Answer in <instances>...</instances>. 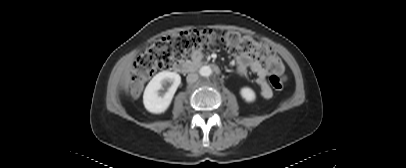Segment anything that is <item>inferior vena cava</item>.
<instances>
[{"mask_svg":"<svg viewBox=\"0 0 406 168\" xmlns=\"http://www.w3.org/2000/svg\"><path fill=\"white\" fill-rule=\"evenodd\" d=\"M186 80L188 83H194L198 80V74L197 73H189L186 77Z\"/></svg>","mask_w":406,"mask_h":168,"instance_id":"602c4592","label":"inferior vena cava"}]
</instances>
